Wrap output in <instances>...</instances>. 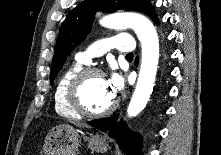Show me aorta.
Listing matches in <instances>:
<instances>
[{
    "label": "aorta",
    "mask_w": 221,
    "mask_h": 155,
    "mask_svg": "<svg viewBox=\"0 0 221 155\" xmlns=\"http://www.w3.org/2000/svg\"><path fill=\"white\" fill-rule=\"evenodd\" d=\"M100 24L111 29L132 28L142 46V59L135 91L127 108L129 117L137 116L146 106L153 91L159 60V40L155 27L145 16L124 13L104 17Z\"/></svg>",
    "instance_id": "762f6f07"
}]
</instances>
